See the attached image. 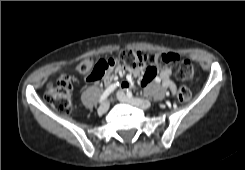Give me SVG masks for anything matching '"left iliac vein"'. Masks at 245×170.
I'll list each match as a JSON object with an SVG mask.
<instances>
[{
	"label": "left iliac vein",
	"mask_w": 245,
	"mask_h": 170,
	"mask_svg": "<svg viewBox=\"0 0 245 170\" xmlns=\"http://www.w3.org/2000/svg\"><path fill=\"white\" fill-rule=\"evenodd\" d=\"M116 97L122 103H127L133 106H137L141 109H149L151 107V103L149 101H144L139 98H130L125 95L123 91H118Z\"/></svg>",
	"instance_id": "obj_1"
}]
</instances>
